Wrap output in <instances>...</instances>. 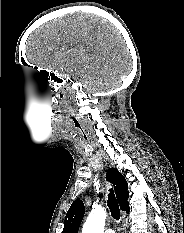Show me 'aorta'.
<instances>
[{
  "instance_id": "1",
  "label": "aorta",
  "mask_w": 184,
  "mask_h": 233,
  "mask_svg": "<svg viewBox=\"0 0 184 233\" xmlns=\"http://www.w3.org/2000/svg\"><path fill=\"white\" fill-rule=\"evenodd\" d=\"M106 219V211L103 208L94 209L90 212L82 233H103Z\"/></svg>"
}]
</instances>
